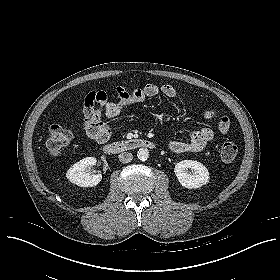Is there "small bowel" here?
I'll list each match as a JSON object with an SVG mask.
<instances>
[{"label": "small bowel", "instance_id": "1", "mask_svg": "<svg viewBox=\"0 0 280 280\" xmlns=\"http://www.w3.org/2000/svg\"><path fill=\"white\" fill-rule=\"evenodd\" d=\"M163 94L169 98H176L182 94L172 85L148 83L142 88L128 92L124 87L117 88V101L108 99L104 91L90 92L84 99L80 108L83 115V129L89 133L90 128L95 127L105 132V136L98 138L100 141H105L110 136V129L107 122L103 121L101 116L103 113L108 119L117 117L121 111L128 106L142 104L146 98L155 97L158 94ZM214 112L207 110L204 113L205 118H212ZM218 131L221 134H226L229 128H223L218 125ZM214 138V131L211 128L203 127L191 133L187 141L174 140L169 143V149L173 153L191 152L202 149Z\"/></svg>", "mask_w": 280, "mask_h": 280}]
</instances>
